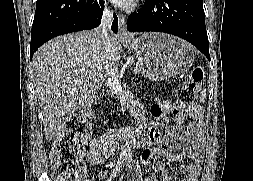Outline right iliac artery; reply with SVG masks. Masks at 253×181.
Listing matches in <instances>:
<instances>
[{
	"mask_svg": "<svg viewBox=\"0 0 253 181\" xmlns=\"http://www.w3.org/2000/svg\"><path fill=\"white\" fill-rule=\"evenodd\" d=\"M122 163H123V161H121V160H119V161L117 162L116 169H114L113 174H112L111 177L108 179V181H111V180H112V177L116 176V174H117V172H118L120 166L122 165Z\"/></svg>",
	"mask_w": 253,
	"mask_h": 181,
	"instance_id": "right-iliac-artery-1",
	"label": "right iliac artery"
}]
</instances>
